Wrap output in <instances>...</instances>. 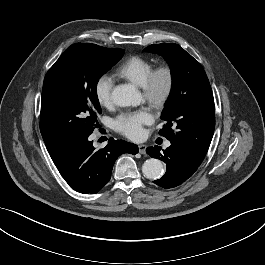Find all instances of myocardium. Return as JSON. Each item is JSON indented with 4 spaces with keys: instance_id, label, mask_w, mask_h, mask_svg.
Listing matches in <instances>:
<instances>
[{
    "instance_id": "f54148a6",
    "label": "myocardium",
    "mask_w": 265,
    "mask_h": 265,
    "mask_svg": "<svg viewBox=\"0 0 265 265\" xmlns=\"http://www.w3.org/2000/svg\"><path fill=\"white\" fill-rule=\"evenodd\" d=\"M143 88V98L154 108H163L175 89V73L169 65L154 68Z\"/></svg>"
}]
</instances>
